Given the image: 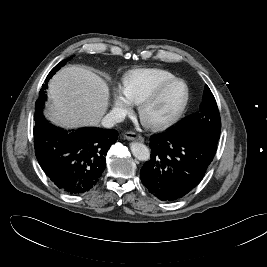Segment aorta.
I'll return each mask as SVG.
<instances>
[{
	"label": "aorta",
	"mask_w": 267,
	"mask_h": 267,
	"mask_svg": "<svg viewBox=\"0 0 267 267\" xmlns=\"http://www.w3.org/2000/svg\"><path fill=\"white\" fill-rule=\"evenodd\" d=\"M130 149L134 157L138 160L147 161L150 159V151L143 143L133 142L130 144Z\"/></svg>",
	"instance_id": "obj_1"
}]
</instances>
